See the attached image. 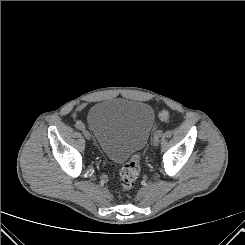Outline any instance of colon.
Segmentation results:
<instances>
[{"instance_id": "1", "label": "colon", "mask_w": 245, "mask_h": 245, "mask_svg": "<svg viewBox=\"0 0 245 245\" xmlns=\"http://www.w3.org/2000/svg\"><path fill=\"white\" fill-rule=\"evenodd\" d=\"M162 120L168 121L170 116L167 110L162 109L159 113ZM140 157L138 154L133 155L120 170V189L122 191L130 190L139 176Z\"/></svg>"}]
</instances>
